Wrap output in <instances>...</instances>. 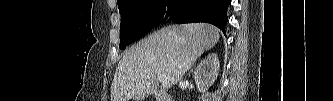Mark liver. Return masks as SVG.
Wrapping results in <instances>:
<instances>
[{"label": "liver", "mask_w": 333, "mask_h": 101, "mask_svg": "<svg viewBox=\"0 0 333 101\" xmlns=\"http://www.w3.org/2000/svg\"><path fill=\"white\" fill-rule=\"evenodd\" d=\"M219 29L206 23L173 25L141 40L119 61L111 101H142L159 87V75L177 84L204 51L218 42Z\"/></svg>", "instance_id": "1"}]
</instances>
